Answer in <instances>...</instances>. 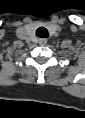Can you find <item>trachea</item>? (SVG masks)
I'll list each match as a JSON object with an SVG mask.
<instances>
[{
    "instance_id": "obj_1",
    "label": "trachea",
    "mask_w": 85,
    "mask_h": 118,
    "mask_svg": "<svg viewBox=\"0 0 85 118\" xmlns=\"http://www.w3.org/2000/svg\"><path fill=\"white\" fill-rule=\"evenodd\" d=\"M48 35V30L45 27H39L36 30V36L39 38H47Z\"/></svg>"
}]
</instances>
